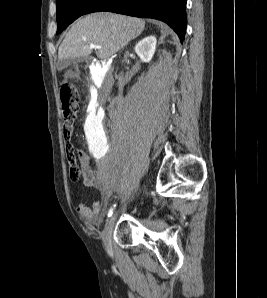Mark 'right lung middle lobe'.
I'll return each instance as SVG.
<instances>
[{
    "mask_svg": "<svg viewBox=\"0 0 267 298\" xmlns=\"http://www.w3.org/2000/svg\"><path fill=\"white\" fill-rule=\"evenodd\" d=\"M103 0H56L57 34L61 33L78 17L88 14Z\"/></svg>",
    "mask_w": 267,
    "mask_h": 298,
    "instance_id": "dd1d6c3e",
    "label": "right lung middle lobe"
}]
</instances>
